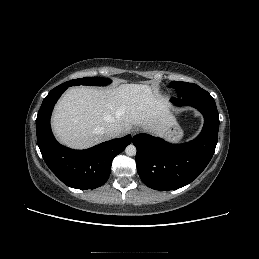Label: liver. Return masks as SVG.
<instances>
[{
    "label": "liver",
    "mask_w": 259,
    "mask_h": 259,
    "mask_svg": "<svg viewBox=\"0 0 259 259\" xmlns=\"http://www.w3.org/2000/svg\"><path fill=\"white\" fill-rule=\"evenodd\" d=\"M174 121L168 100L143 84H122L116 88L72 87L55 106L52 129L57 139L75 149H86L107 139L110 124L127 134L133 125L162 136Z\"/></svg>",
    "instance_id": "1"
}]
</instances>
